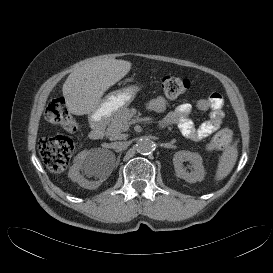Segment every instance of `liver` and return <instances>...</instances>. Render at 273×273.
Instances as JSON below:
<instances>
[{
    "instance_id": "obj_1",
    "label": "liver",
    "mask_w": 273,
    "mask_h": 273,
    "mask_svg": "<svg viewBox=\"0 0 273 273\" xmlns=\"http://www.w3.org/2000/svg\"><path fill=\"white\" fill-rule=\"evenodd\" d=\"M129 61L102 59L73 70L63 84V96L69 112L75 115L91 114L104 92L131 70Z\"/></svg>"
}]
</instances>
